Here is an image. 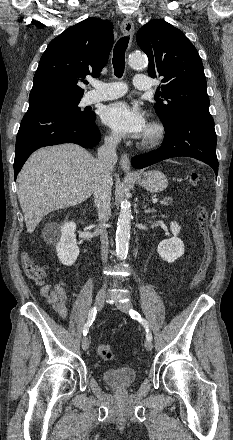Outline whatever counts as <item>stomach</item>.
Wrapping results in <instances>:
<instances>
[{
    "label": "stomach",
    "instance_id": "0dacf381",
    "mask_svg": "<svg viewBox=\"0 0 233 440\" xmlns=\"http://www.w3.org/2000/svg\"><path fill=\"white\" fill-rule=\"evenodd\" d=\"M136 180L143 188L152 193L161 192L168 185L166 176L158 170L140 173L137 175Z\"/></svg>",
    "mask_w": 233,
    "mask_h": 440
}]
</instances>
